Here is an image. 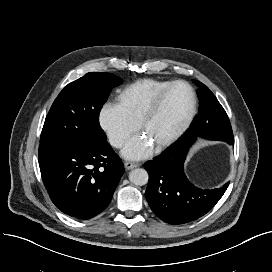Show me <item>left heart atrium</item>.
<instances>
[{
	"mask_svg": "<svg viewBox=\"0 0 272 272\" xmlns=\"http://www.w3.org/2000/svg\"><path fill=\"white\" fill-rule=\"evenodd\" d=\"M153 145L148 138L139 135L131 139L124 147L122 154L131 160L147 157L152 152Z\"/></svg>",
	"mask_w": 272,
	"mask_h": 272,
	"instance_id": "39dd6f15",
	"label": "left heart atrium"
}]
</instances>
